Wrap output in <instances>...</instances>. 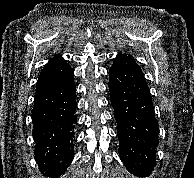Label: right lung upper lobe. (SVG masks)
I'll list each match as a JSON object with an SVG mask.
<instances>
[{
    "instance_id": "right-lung-upper-lobe-1",
    "label": "right lung upper lobe",
    "mask_w": 194,
    "mask_h": 178,
    "mask_svg": "<svg viewBox=\"0 0 194 178\" xmlns=\"http://www.w3.org/2000/svg\"><path fill=\"white\" fill-rule=\"evenodd\" d=\"M71 67L61 56H54L43 68L37 83L50 81L65 74Z\"/></svg>"
}]
</instances>
